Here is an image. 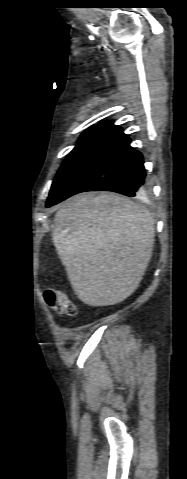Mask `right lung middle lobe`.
Returning a JSON list of instances; mask_svg holds the SVG:
<instances>
[{
	"instance_id": "right-lung-middle-lobe-1",
	"label": "right lung middle lobe",
	"mask_w": 187,
	"mask_h": 479,
	"mask_svg": "<svg viewBox=\"0 0 187 479\" xmlns=\"http://www.w3.org/2000/svg\"><path fill=\"white\" fill-rule=\"evenodd\" d=\"M127 135L120 131L91 127L79 138L54 179L46 206L54 202L65 188L88 167L119 145Z\"/></svg>"
}]
</instances>
